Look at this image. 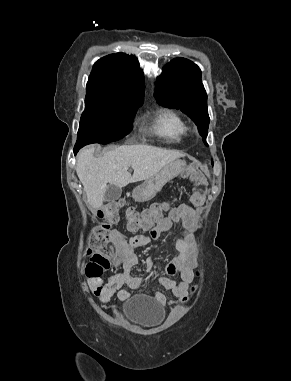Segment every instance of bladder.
<instances>
[{
  "instance_id": "1",
  "label": "bladder",
  "mask_w": 291,
  "mask_h": 381,
  "mask_svg": "<svg viewBox=\"0 0 291 381\" xmlns=\"http://www.w3.org/2000/svg\"><path fill=\"white\" fill-rule=\"evenodd\" d=\"M122 313L131 324L140 327H152L162 320L164 309L148 297L135 296L124 301Z\"/></svg>"
}]
</instances>
